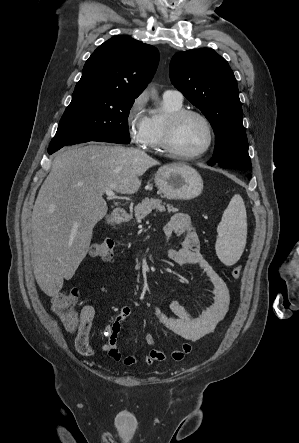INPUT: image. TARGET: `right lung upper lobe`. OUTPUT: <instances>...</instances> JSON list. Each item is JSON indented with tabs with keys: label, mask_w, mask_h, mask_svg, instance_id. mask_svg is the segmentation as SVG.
<instances>
[{
	"label": "right lung upper lobe",
	"mask_w": 299,
	"mask_h": 443,
	"mask_svg": "<svg viewBox=\"0 0 299 443\" xmlns=\"http://www.w3.org/2000/svg\"><path fill=\"white\" fill-rule=\"evenodd\" d=\"M158 61L159 52L154 46L115 36L91 54L74 92L104 91L135 99L152 79Z\"/></svg>",
	"instance_id": "1"
}]
</instances>
